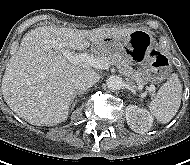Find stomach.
<instances>
[{
    "label": "stomach",
    "instance_id": "obj_1",
    "mask_svg": "<svg viewBox=\"0 0 190 165\" xmlns=\"http://www.w3.org/2000/svg\"><path fill=\"white\" fill-rule=\"evenodd\" d=\"M135 32L127 37L105 38L95 46V49L101 55L123 53V60L141 74L145 82L157 83L168 73V60L164 61L159 49L147 33Z\"/></svg>",
    "mask_w": 190,
    "mask_h": 165
}]
</instances>
